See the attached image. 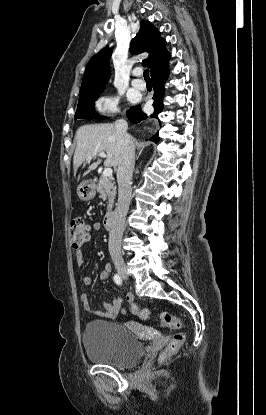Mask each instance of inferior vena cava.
I'll list each match as a JSON object with an SVG mask.
<instances>
[{"label": "inferior vena cava", "mask_w": 266, "mask_h": 415, "mask_svg": "<svg viewBox=\"0 0 266 415\" xmlns=\"http://www.w3.org/2000/svg\"><path fill=\"white\" fill-rule=\"evenodd\" d=\"M117 145L120 159L117 168L118 202L109 233V253L112 258L121 257V241L125 227V218L131 201V179L134 169L135 149L127 134L128 124L120 119L115 122Z\"/></svg>", "instance_id": "obj_1"}]
</instances>
